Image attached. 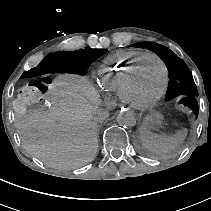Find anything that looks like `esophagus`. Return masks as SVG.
Returning <instances> with one entry per match:
<instances>
[{"label": "esophagus", "instance_id": "34e87169", "mask_svg": "<svg viewBox=\"0 0 211 211\" xmlns=\"http://www.w3.org/2000/svg\"><path fill=\"white\" fill-rule=\"evenodd\" d=\"M119 109H120V111L125 112L127 114H130L133 111L132 106L127 105L125 103L120 104Z\"/></svg>", "mask_w": 211, "mask_h": 211}]
</instances>
